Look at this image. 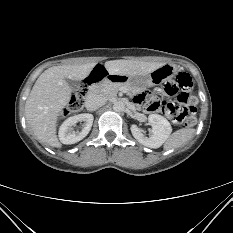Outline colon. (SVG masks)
I'll use <instances>...</instances> for the list:
<instances>
[{
    "label": "colon",
    "instance_id": "colon-1",
    "mask_svg": "<svg viewBox=\"0 0 233 233\" xmlns=\"http://www.w3.org/2000/svg\"><path fill=\"white\" fill-rule=\"evenodd\" d=\"M192 82L185 73L177 75L174 82L165 85V93L172 100L154 98L148 105L150 112L160 111L167 118L177 124L192 127L196 124V98L191 94ZM87 88L83 85L74 94L68 104V112H77L83 109Z\"/></svg>",
    "mask_w": 233,
    "mask_h": 233
}]
</instances>
